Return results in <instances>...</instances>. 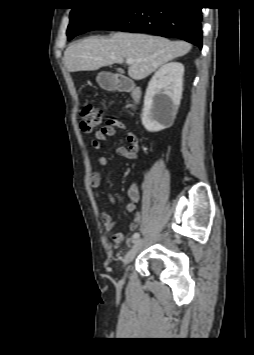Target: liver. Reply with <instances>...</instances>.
I'll use <instances>...</instances> for the list:
<instances>
[{"mask_svg":"<svg viewBox=\"0 0 254 355\" xmlns=\"http://www.w3.org/2000/svg\"><path fill=\"white\" fill-rule=\"evenodd\" d=\"M192 45L184 41L146 34L117 32L110 37H87L70 45L64 52V64L69 72L94 71L114 63L135 60L128 67V75L141 80L158 67L187 54Z\"/></svg>","mask_w":254,"mask_h":355,"instance_id":"1","label":"liver"}]
</instances>
